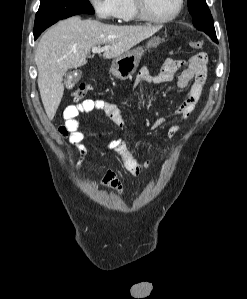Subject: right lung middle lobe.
<instances>
[{"label": "right lung middle lobe", "mask_w": 247, "mask_h": 299, "mask_svg": "<svg viewBox=\"0 0 247 299\" xmlns=\"http://www.w3.org/2000/svg\"><path fill=\"white\" fill-rule=\"evenodd\" d=\"M81 13L93 14L89 0H41L35 17L34 36L61 19Z\"/></svg>", "instance_id": "obj_1"}]
</instances>
